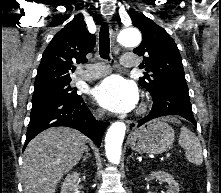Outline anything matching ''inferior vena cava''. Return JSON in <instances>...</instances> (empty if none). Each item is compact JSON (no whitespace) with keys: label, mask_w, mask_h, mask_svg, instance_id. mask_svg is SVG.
Instances as JSON below:
<instances>
[{"label":"inferior vena cava","mask_w":221,"mask_h":193,"mask_svg":"<svg viewBox=\"0 0 221 193\" xmlns=\"http://www.w3.org/2000/svg\"><path fill=\"white\" fill-rule=\"evenodd\" d=\"M102 115H103V112H102V111H99V113H98L97 117H98V118H101V117H102Z\"/></svg>","instance_id":"obj_1"}]
</instances>
